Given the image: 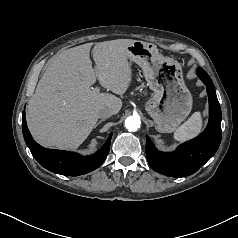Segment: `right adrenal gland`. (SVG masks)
Listing matches in <instances>:
<instances>
[{
	"instance_id": "right-adrenal-gland-1",
	"label": "right adrenal gland",
	"mask_w": 238,
	"mask_h": 238,
	"mask_svg": "<svg viewBox=\"0 0 238 238\" xmlns=\"http://www.w3.org/2000/svg\"><path fill=\"white\" fill-rule=\"evenodd\" d=\"M104 120H105V119L99 120V121L97 122V124L95 125V128H96L98 125H100Z\"/></svg>"
}]
</instances>
